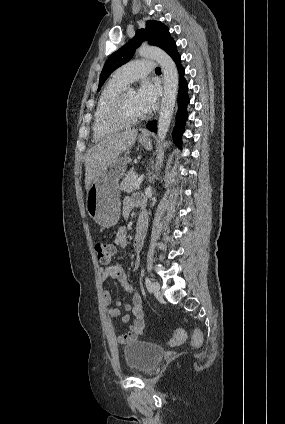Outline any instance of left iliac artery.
<instances>
[{"instance_id":"44dca946","label":"left iliac artery","mask_w":285,"mask_h":424,"mask_svg":"<svg viewBox=\"0 0 285 424\" xmlns=\"http://www.w3.org/2000/svg\"><path fill=\"white\" fill-rule=\"evenodd\" d=\"M145 284H146L148 291L151 292V287H152L151 286V280L148 277H146V279H145Z\"/></svg>"}]
</instances>
